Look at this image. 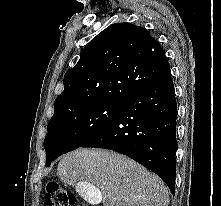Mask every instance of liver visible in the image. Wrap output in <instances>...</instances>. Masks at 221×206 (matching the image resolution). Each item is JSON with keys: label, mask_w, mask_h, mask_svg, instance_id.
Listing matches in <instances>:
<instances>
[{"label": "liver", "mask_w": 221, "mask_h": 206, "mask_svg": "<svg viewBox=\"0 0 221 206\" xmlns=\"http://www.w3.org/2000/svg\"><path fill=\"white\" fill-rule=\"evenodd\" d=\"M61 181L73 185L90 201V191L101 190L104 206H168L164 182L139 163L102 149H78L58 165Z\"/></svg>", "instance_id": "6515ba94"}]
</instances>
